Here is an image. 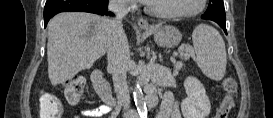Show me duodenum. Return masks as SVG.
<instances>
[{
  "mask_svg": "<svg viewBox=\"0 0 273 118\" xmlns=\"http://www.w3.org/2000/svg\"><path fill=\"white\" fill-rule=\"evenodd\" d=\"M92 82L94 88L100 98L109 105H114L116 103V98L112 93V90L109 84L103 78L102 71L100 69H96L92 73Z\"/></svg>",
  "mask_w": 273,
  "mask_h": 118,
  "instance_id": "1",
  "label": "duodenum"
}]
</instances>
